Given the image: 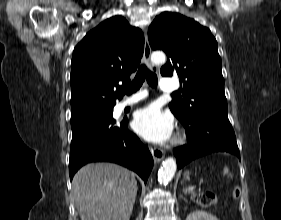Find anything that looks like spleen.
<instances>
[{
  "instance_id": "3e777b00",
  "label": "spleen",
  "mask_w": 281,
  "mask_h": 220,
  "mask_svg": "<svg viewBox=\"0 0 281 220\" xmlns=\"http://www.w3.org/2000/svg\"><path fill=\"white\" fill-rule=\"evenodd\" d=\"M223 175H228V177H232L231 174L229 173V169L227 167H224Z\"/></svg>"
}]
</instances>
